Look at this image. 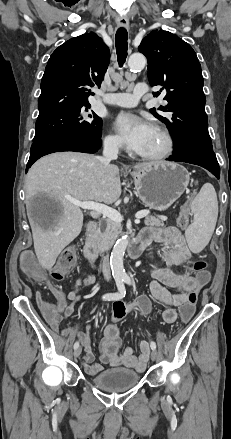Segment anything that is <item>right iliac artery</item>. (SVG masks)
Wrapping results in <instances>:
<instances>
[{"label":"right iliac artery","mask_w":231,"mask_h":439,"mask_svg":"<svg viewBox=\"0 0 231 439\" xmlns=\"http://www.w3.org/2000/svg\"><path fill=\"white\" fill-rule=\"evenodd\" d=\"M123 281L124 280L121 279V278L116 279V284H117V287H118V292L104 294L102 296V299L105 300V301H112V300L122 299L125 296V294H126V290H125V286H124ZM77 347H79V342L78 341L75 342L74 349H76Z\"/></svg>","instance_id":"obj_1"}]
</instances>
